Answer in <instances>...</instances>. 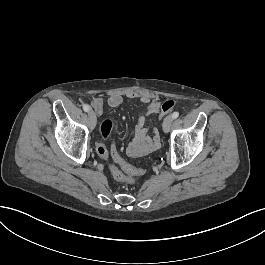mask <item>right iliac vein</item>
<instances>
[{
  "label": "right iliac vein",
  "mask_w": 265,
  "mask_h": 265,
  "mask_svg": "<svg viewBox=\"0 0 265 265\" xmlns=\"http://www.w3.org/2000/svg\"><path fill=\"white\" fill-rule=\"evenodd\" d=\"M89 125L91 129L95 128L96 125V115L93 110H90L88 113Z\"/></svg>",
  "instance_id": "63e3f726"
}]
</instances>
